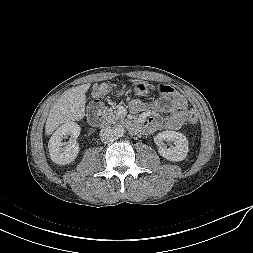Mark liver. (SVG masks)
Listing matches in <instances>:
<instances>
[{"label":"liver","mask_w":253,"mask_h":253,"mask_svg":"<svg viewBox=\"0 0 253 253\" xmlns=\"http://www.w3.org/2000/svg\"><path fill=\"white\" fill-rule=\"evenodd\" d=\"M90 84L66 90L54 103L47 117L45 132L50 135L63 123L82 120L85 116L86 95Z\"/></svg>","instance_id":"6515ba94"}]
</instances>
